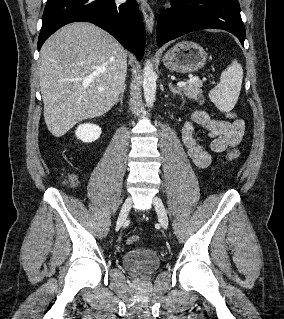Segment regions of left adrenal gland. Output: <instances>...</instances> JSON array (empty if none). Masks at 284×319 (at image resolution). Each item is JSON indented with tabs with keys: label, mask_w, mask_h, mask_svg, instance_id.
I'll list each match as a JSON object with an SVG mask.
<instances>
[{
	"label": "left adrenal gland",
	"mask_w": 284,
	"mask_h": 319,
	"mask_svg": "<svg viewBox=\"0 0 284 319\" xmlns=\"http://www.w3.org/2000/svg\"><path fill=\"white\" fill-rule=\"evenodd\" d=\"M169 89L173 95L178 94L181 96L182 100L184 99L183 93L180 90H177L176 87L171 82L169 83Z\"/></svg>",
	"instance_id": "left-adrenal-gland-1"
}]
</instances>
